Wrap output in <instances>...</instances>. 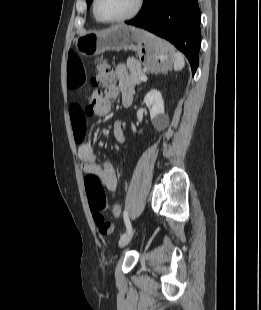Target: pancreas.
I'll list each match as a JSON object with an SVG mask.
<instances>
[{
  "label": "pancreas",
  "instance_id": "obj_1",
  "mask_svg": "<svg viewBox=\"0 0 261 310\" xmlns=\"http://www.w3.org/2000/svg\"><path fill=\"white\" fill-rule=\"evenodd\" d=\"M127 67L130 71L129 84L133 86L141 84L142 80L140 78L144 75V71L142 70L140 63L133 59H128Z\"/></svg>",
  "mask_w": 261,
  "mask_h": 310
}]
</instances>
